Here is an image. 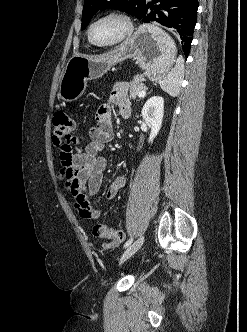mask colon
<instances>
[{
  "label": "colon",
  "mask_w": 247,
  "mask_h": 332,
  "mask_svg": "<svg viewBox=\"0 0 247 332\" xmlns=\"http://www.w3.org/2000/svg\"><path fill=\"white\" fill-rule=\"evenodd\" d=\"M75 126L72 114L57 112L53 117V142L57 146H70L71 135ZM96 237L120 243L125 235L121 230H115L104 224H97L93 228Z\"/></svg>",
  "instance_id": "1"
}]
</instances>
